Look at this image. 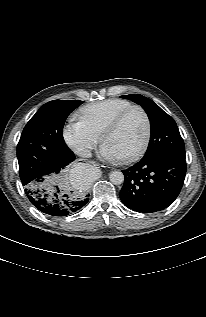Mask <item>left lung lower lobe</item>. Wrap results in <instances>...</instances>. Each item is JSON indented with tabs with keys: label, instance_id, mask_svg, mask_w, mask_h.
I'll return each instance as SVG.
<instances>
[{
	"label": "left lung lower lobe",
	"instance_id": "obj_1",
	"mask_svg": "<svg viewBox=\"0 0 206 317\" xmlns=\"http://www.w3.org/2000/svg\"><path fill=\"white\" fill-rule=\"evenodd\" d=\"M121 201L130 209L152 213L167 208L179 195L186 175L185 157L162 154L143 157L123 170Z\"/></svg>",
	"mask_w": 206,
	"mask_h": 317
}]
</instances>
